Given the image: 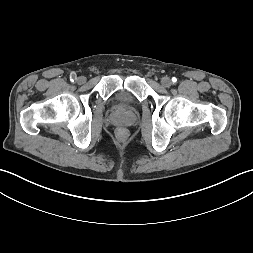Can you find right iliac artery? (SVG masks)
<instances>
[{"mask_svg": "<svg viewBox=\"0 0 253 253\" xmlns=\"http://www.w3.org/2000/svg\"><path fill=\"white\" fill-rule=\"evenodd\" d=\"M76 79H77L76 74L75 73H71V75H70L71 82H74Z\"/></svg>", "mask_w": 253, "mask_h": 253, "instance_id": "82829eb1", "label": "right iliac artery"}]
</instances>
